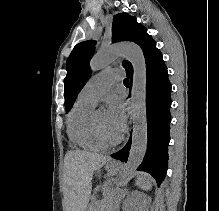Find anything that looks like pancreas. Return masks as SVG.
Here are the masks:
<instances>
[{
	"label": "pancreas",
	"instance_id": "cf45deb5",
	"mask_svg": "<svg viewBox=\"0 0 219 211\" xmlns=\"http://www.w3.org/2000/svg\"><path fill=\"white\" fill-rule=\"evenodd\" d=\"M123 199L122 195L117 192H112L111 195H105V199L90 200L88 211H117V206L120 200ZM101 206V207H100Z\"/></svg>",
	"mask_w": 219,
	"mask_h": 211
}]
</instances>
